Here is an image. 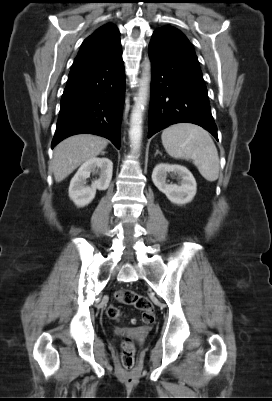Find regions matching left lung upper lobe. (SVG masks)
Masks as SVG:
<instances>
[{
    "mask_svg": "<svg viewBox=\"0 0 272 401\" xmlns=\"http://www.w3.org/2000/svg\"><path fill=\"white\" fill-rule=\"evenodd\" d=\"M157 30L164 32L169 38H171L179 46L194 52L192 44L188 41L186 36L184 34H182L179 30H177L173 27H170V26L161 27Z\"/></svg>",
    "mask_w": 272,
    "mask_h": 401,
    "instance_id": "1",
    "label": "left lung upper lobe"
}]
</instances>
